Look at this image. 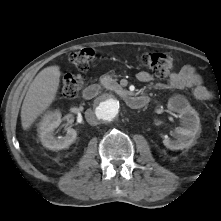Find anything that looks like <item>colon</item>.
<instances>
[{
    "label": "colon",
    "instance_id": "5ec220e1",
    "mask_svg": "<svg viewBox=\"0 0 221 221\" xmlns=\"http://www.w3.org/2000/svg\"><path fill=\"white\" fill-rule=\"evenodd\" d=\"M94 55L93 49L84 48L72 54L71 62L77 70L86 71L93 61ZM140 63L158 78L167 76L176 65L175 59L167 53H142L140 55ZM85 83L86 79L84 76L68 74L62 80V93L68 98L76 97L83 89Z\"/></svg>",
    "mask_w": 221,
    "mask_h": 221
}]
</instances>
